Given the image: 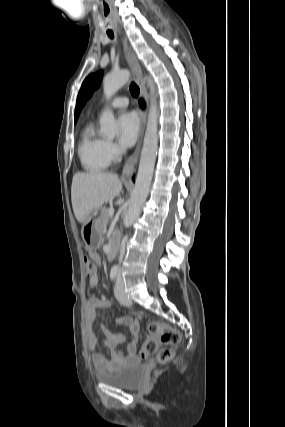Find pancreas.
Listing matches in <instances>:
<instances>
[{
  "mask_svg": "<svg viewBox=\"0 0 285 427\" xmlns=\"http://www.w3.org/2000/svg\"><path fill=\"white\" fill-rule=\"evenodd\" d=\"M109 208L103 210L101 217H100V223H99V228L101 230L102 233H104L106 231V227L109 221Z\"/></svg>",
  "mask_w": 285,
  "mask_h": 427,
  "instance_id": "1",
  "label": "pancreas"
}]
</instances>
